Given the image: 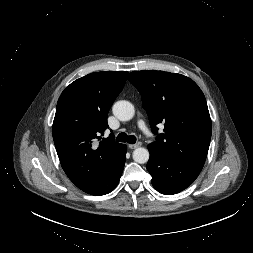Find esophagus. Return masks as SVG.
Here are the masks:
<instances>
[{"mask_svg":"<svg viewBox=\"0 0 253 253\" xmlns=\"http://www.w3.org/2000/svg\"><path fill=\"white\" fill-rule=\"evenodd\" d=\"M141 146V142H138V143H136V144H130L128 147L130 148V149H136V148H138V147H140Z\"/></svg>","mask_w":253,"mask_h":253,"instance_id":"1","label":"esophagus"}]
</instances>
